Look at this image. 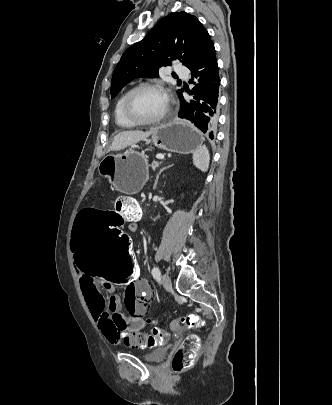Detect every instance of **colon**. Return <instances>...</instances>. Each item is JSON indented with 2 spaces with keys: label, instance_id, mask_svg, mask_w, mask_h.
<instances>
[{
  "label": "colon",
  "instance_id": "1",
  "mask_svg": "<svg viewBox=\"0 0 332 405\" xmlns=\"http://www.w3.org/2000/svg\"><path fill=\"white\" fill-rule=\"evenodd\" d=\"M116 211H104L103 206L86 205L80 211V220H73L75 262H79L82 275H98L99 281H112L113 287H131L139 279V266L134 259V234H128L122 222L139 210L135 199L120 195L115 203ZM164 312L153 310L146 316V325H152L148 333L137 334L141 351H157L159 345L168 340V326L162 325ZM208 315L189 314L183 316L181 324L188 328H199L209 323ZM124 340L132 335L121 331ZM200 339L197 335L187 336L175 350L172 367L182 371L190 367L197 355Z\"/></svg>",
  "mask_w": 332,
  "mask_h": 405
}]
</instances>
